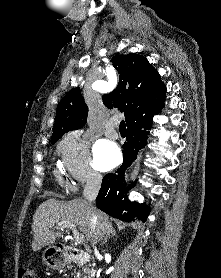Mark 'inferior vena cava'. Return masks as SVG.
Here are the masks:
<instances>
[{
	"instance_id": "inferior-vena-cava-1",
	"label": "inferior vena cava",
	"mask_w": 221,
	"mask_h": 278,
	"mask_svg": "<svg viewBox=\"0 0 221 278\" xmlns=\"http://www.w3.org/2000/svg\"><path fill=\"white\" fill-rule=\"evenodd\" d=\"M102 182V176L96 171H90L87 183L84 188L83 195L84 197L91 203L93 202L99 192L100 186ZM97 222L96 215H92L91 225H90V234L93 236L95 231V226Z\"/></svg>"
}]
</instances>
